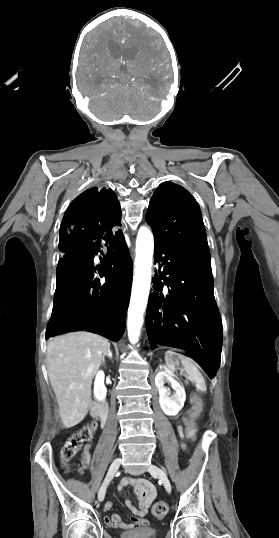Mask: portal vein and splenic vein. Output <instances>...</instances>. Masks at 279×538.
I'll use <instances>...</instances> for the list:
<instances>
[{
	"label": "portal vein and splenic vein",
	"mask_w": 279,
	"mask_h": 538,
	"mask_svg": "<svg viewBox=\"0 0 279 538\" xmlns=\"http://www.w3.org/2000/svg\"><path fill=\"white\" fill-rule=\"evenodd\" d=\"M185 384H190V381H185Z\"/></svg>",
	"instance_id": "portal-vein-and-splenic-vein-1"
}]
</instances>
